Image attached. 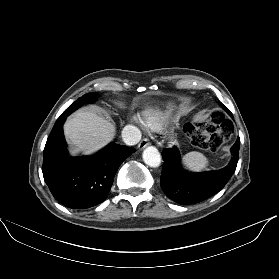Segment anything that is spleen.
<instances>
[{"label": "spleen", "instance_id": "spleen-1", "mask_svg": "<svg viewBox=\"0 0 279 279\" xmlns=\"http://www.w3.org/2000/svg\"><path fill=\"white\" fill-rule=\"evenodd\" d=\"M184 164L193 171H202L208 166V159L200 152L192 151L183 157Z\"/></svg>", "mask_w": 279, "mask_h": 279}]
</instances>
